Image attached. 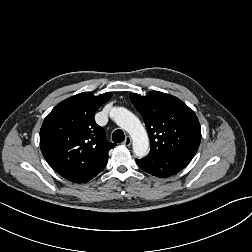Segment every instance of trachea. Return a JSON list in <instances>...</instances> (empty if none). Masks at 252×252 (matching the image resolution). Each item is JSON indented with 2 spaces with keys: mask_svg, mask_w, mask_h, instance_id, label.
Segmentation results:
<instances>
[{
  "mask_svg": "<svg viewBox=\"0 0 252 252\" xmlns=\"http://www.w3.org/2000/svg\"><path fill=\"white\" fill-rule=\"evenodd\" d=\"M112 139H113V142L115 143L123 142L125 139L124 132L121 129L115 130L113 132Z\"/></svg>",
  "mask_w": 252,
  "mask_h": 252,
  "instance_id": "3493384b",
  "label": "trachea"
}]
</instances>
